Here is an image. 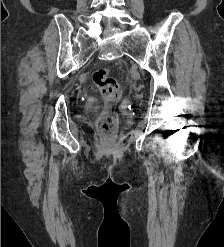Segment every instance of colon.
<instances>
[{"instance_id":"1","label":"colon","mask_w":224,"mask_h":247,"mask_svg":"<svg viewBox=\"0 0 224 247\" xmlns=\"http://www.w3.org/2000/svg\"><path fill=\"white\" fill-rule=\"evenodd\" d=\"M92 80L105 98L106 105L105 111L98 121V129L102 133H109L117 123V116L113 107L121 99L122 90L117 80L110 75L106 68L97 69L92 75Z\"/></svg>"}]
</instances>
